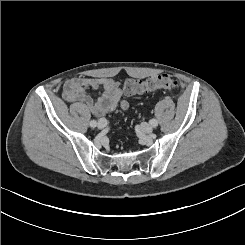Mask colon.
Segmentation results:
<instances>
[{"instance_id":"5ec220e1","label":"colon","mask_w":245,"mask_h":245,"mask_svg":"<svg viewBox=\"0 0 245 245\" xmlns=\"http://www.w3.org/2000/svg\"><path fill=\"white\" fill-rule=\"evenodd\" d=\"M176 80L168 74H160L145 80L127 79L123 84V90L128 95L148 93L160 89H174Z\"/></svg>"}]
</instances>
